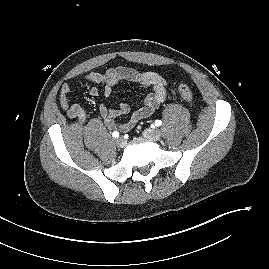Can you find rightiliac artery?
I'll list each match as a JSON object with an SVG mask.
<instances>
[{
    "mask_svg": "<svg viewBox=\"0 0 269 269\" xmlns=\"http://www.w3.org/2000/svg\"><path fill=\"white\" fill-rule=\"evenodd\" d=\"M112 136H113L114 138H117V137L119 136V133H118L117 131H114V132L112 133Z\"/></svg>",
    "mask_w": 269,
    "mask_h": 269,
    "instance_id": "1",
    "label": "right iliac artery"
}]
</instances>
